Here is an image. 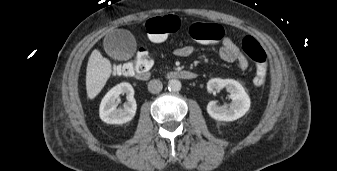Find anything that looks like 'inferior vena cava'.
Here are the masks:
<instances>
[{
	"label": "inferior vena cava",
	"mask_w": 337,
	"mask_h": 171,
	"mask_svg": "<svg viewBox=\"0 0 337 171\" xmlns=\"http://www.w3.org/2000/svg\"><path fill=\"white\" fill-rule=\"evenodd\" d=\"M163 88L162 82L158 79L151 80L148 84L149 92L156 94L159 93Z\"/></svg>",
	"instance_id": "602c4592"
}]
</instances>
